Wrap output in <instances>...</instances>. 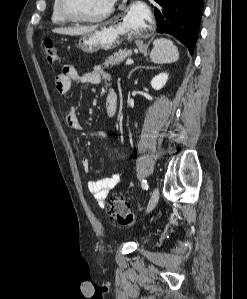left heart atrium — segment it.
<instances>
[{"label":"left heart atrium","instance_id":"left-heart-atrium-1","mask_svg":"<svg viewBox=\"0 0 247 299\" xmlns=\"http://www.w3.org/2000/svg\"><path fill=\"white\" fill-rule=\"evenodd\" d=\"M112 2H115L116 0H111Z\"/></svg>","mask_w":247,"mask_h":299}]
</instances>
